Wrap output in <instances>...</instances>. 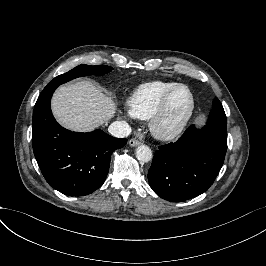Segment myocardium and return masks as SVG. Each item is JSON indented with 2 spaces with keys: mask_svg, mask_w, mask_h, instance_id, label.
<instances>
[{
  "mask_svg": "<svg viewBox=\"0 0 266 266\" xmlns=\"http://www.w3.org/2000/svg\"><path fill=\"white\" fill-rule=\"evenodd\" d=\"M181 87L186 88L190 93L191 101H192L191 110H190L188 116L186 117V119L184 120V122L179 127H177L176 129H174L172 131H168V132L162 131L158 127V121L162 117V115L164 114V112L168 106V103H169L170 99L172 98V96L174 95V93L177 91V89H179ZM196 110H197V99H196V95H195L193 89L188 84L179 83L164 94V96L159 101L158 105L155 107V109L151 113V115L148 119L149 130H150L151 134L159 140H163V141L174 140V139L178 138L179 136H181L185 132L187 127L190 125V123H191V121H192V119L196 113Z\"/></svg>",
  "mask_w": 266,
  "mask_h": 266,
  "instance_id": "1",
  "label": "myocardium"
}]
</instances>
